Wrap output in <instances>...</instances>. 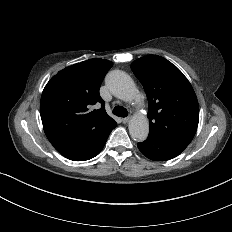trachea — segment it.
Returning a JSON list of instances; mask_svg holds the SVG:
<instances>
[{"instance_id":"obj_1","label":"trachea","mask_w":232,"mask_h":232,"mask_svg":"<svg viewBox=\"0 0 232 232\" xmlns=\"http://www.w3.org/2000/svg\"><path fill=\"white\" fill-rule=\"evenodd\" d=\"M112 113L118 117H127L128 116V111L124 107L121 106H116L114 107Z\"/></svg>"}]
</instances>
